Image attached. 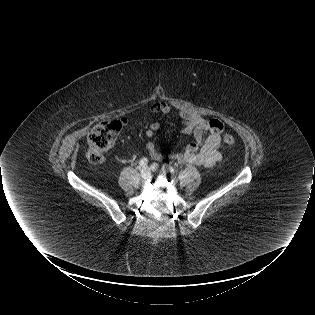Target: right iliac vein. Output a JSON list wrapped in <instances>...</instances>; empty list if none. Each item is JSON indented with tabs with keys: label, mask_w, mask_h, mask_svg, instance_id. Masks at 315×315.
Instances as JSON below:
<instances>
[{
	"label": "right iliac vein",
	"mask_w": 315,
	"mask_h": 315,
	"mask_svg": "<svg viewBox=\"0 0 315 315\" xmlns=\"http://www.w3.org/2000/svg\"><path fill=\"white\" fill-rule=\"evenodd\" d=\"M140 176L142 179H148L151 177V171L148 167H143L141 170H140Z\"/></svg>",
	"instance_id": "63e3f726"
}]
</instances>
